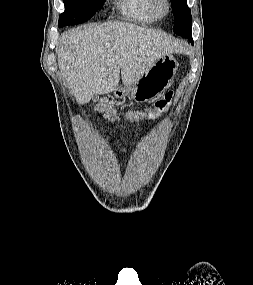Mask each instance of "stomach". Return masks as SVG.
Here are the masks:
<instances>
[{
  "label": "stomach",
  "mask_w": 253,
  "mask_h": 285,
  "mask_svg": "<svg viewBox=\"0 0 253 285\" xmlns=\"http://www.w3.org/2000/svg\"><path fill=\"white\" fill-rule=\"evenodd\" d=\"M178 68V62L167 54L144 73L136 82L114 90L116 98L131 97L137 103L154 100L171 84Z\"/></svg>",
  "instance_id": "0dacf381"
}]
</instances>
